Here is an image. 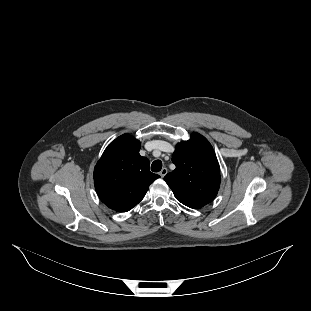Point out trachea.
I'll list each match as a JSON object with an SVG mask.
<instances>
[{"label": "trachea", "instance_id": "obj_1", "mask_svg": "<svg viewBox=\"0 0 311 311\" xmlns=\"http://www.w3.org/2000/svg\"><path fill=\"white\" fill-rule=\"evenodd\" d=\"M162 168V162L160 160H155L151 165V170L153 172H159Z\"/></svg>", "mask_w": 311, "mask_h": 311}]
</instances>
